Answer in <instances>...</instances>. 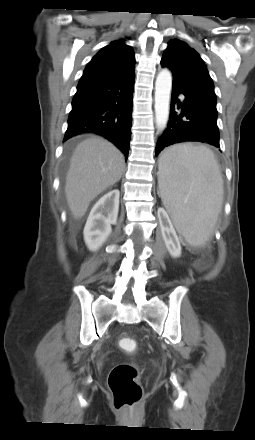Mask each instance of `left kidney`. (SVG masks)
<instances>
[{
    "label": "left kidney",
    "mask_w": 255,
    "mask_h": 440,
    "mask_svg": "<svg viewBox=\"0 0 255 440\" xmlns=\"http://www.w3.org/2000/svg\"><path fill=\"white\" fill-rule=\"evenodd\" d=\"M158 214L160 219H162L161 231L168 252L174 258L180 257V242L167 213L160 208Z\"/></svg>",
    "instance_id": "5707ae66"
}]
</instances>
